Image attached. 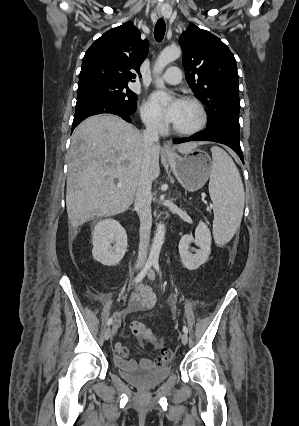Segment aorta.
Returning <instances> with one entry per match:
<instances>
[{
    "label": "aorta",
    "mask_w": 299,
    "mask_h": 426,
    "mask_svg": "<svg viewBox=\"0 0 299 426\" xmlns=\"http://www.w3.org/2000/svg\"><path fill=\"white\" fill-rule=\"evenodd\" d=\"M181 55V50L178 47H167L165 48L160 55L158 56L155 65L154 71L156 73H162L164 68L171 62L178 59ZM158 87H162L163 83H158ZM161 103L166 105L168 103V99H162ZM165 238V225L163 223H159L157 226L156 234L153 239V243L150 250L149 259L152 262H158L160 251Z\"/></svg>",
    "instance_id": "obj_1"
}]
</instances>
